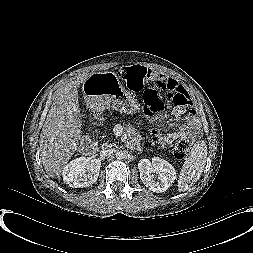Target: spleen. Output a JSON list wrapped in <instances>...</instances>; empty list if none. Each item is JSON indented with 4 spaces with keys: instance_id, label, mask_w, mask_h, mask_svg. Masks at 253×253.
<instances>
[{
    "instance_id": "3e777b00",
    "label": "spleen",
    "mask_w": 253,
    "mask_h": 253,
    "mask_svg": "<svg viewBox=\"0 0 253 253\" xmlns=\"http://www.w3.org/2000/svg\"><path fill=\"white\" fill-rule=\"evenodd\" d=\"M207 145L205 141L197 142L186 158L178 180V190L186 191L196 182L206 165Z\"/></svg>"
}]
</instances>
